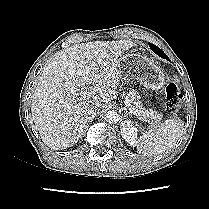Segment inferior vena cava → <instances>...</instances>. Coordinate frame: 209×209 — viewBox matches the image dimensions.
I'll list each match as a JSON object with an SVG mask.
<instances>
[{
  "label": "inferior vena cava",
  "instance_id": "602c4592",
  "mask_svg": "<svg viewBox=\"0 0 209 209\" xmlns=\"http://www.w3.org/2000/svg\"><path fill=\"white\" fill-rule=\"evenodd\" d=\"M100 108H101V103L94 102L87 108V114L94 117L97 115Z\"/></svg>",
  "mask_w": 209,
  "mask_h": 209
}]
</instances>
